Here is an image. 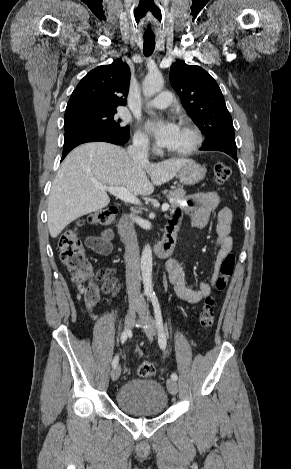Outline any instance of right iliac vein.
Wrapping results in <instances>:
<instances>
[{"instance_id": "1", "label": "right iliac vein", "mask_w": 291, "mask_h": 469, "mask_svg": "<svg viewBox=\"0 0 291 469\" xmlns=\"http://www.w3.org/2000/svg\"><path fill=\"white\" fill-rule=\"evenodd\" d=\"M138 310H139V308H137V307H131L128 310V313H127L126 318H125V329L126 330L130 331L131 328L133 327V325L135 323V319H136V312ZM120 374H121V367L120 366L114 367L111 371L112 380L116 381L120 377Z\"/></svg>"}]
</instances>
